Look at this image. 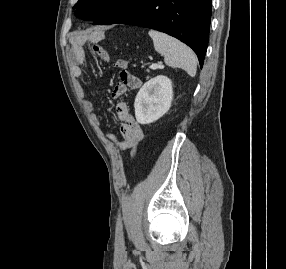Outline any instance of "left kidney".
<instances>
[{"instance_id":"5707ae66","label":"left kidney","mask_w":286,"mask_h":269,"mask_svg":"<svg viewBox=\"0 0 286 269\" xmlns=\"http://www.w3.org/2000/svg\"><path fill=\"white\" fill-rule=\"evenodd\" d=\"M172 99V82L168 77L159 75L150 79L142 86L135 98L137 122L140 124L155 122L168 112Z\"/></svg>"}]
</instances>
